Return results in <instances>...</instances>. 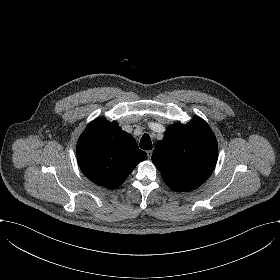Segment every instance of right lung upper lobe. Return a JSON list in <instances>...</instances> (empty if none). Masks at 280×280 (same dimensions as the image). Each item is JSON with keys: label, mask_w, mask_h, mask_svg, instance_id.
Returning a JSON list of instances; mask_svg holds the SVG:
<instances>
[{"label": "right lung upper lobe", "mask_w": 280, "mask_h": 280, "mask_svg": "<svg viewBox=\"0 0 280 280\" xmlns=\"http://www.w3.org/2000/svg\"><path fill=\"white\" fill-rule=\"evenodd\" d=\"M77 158L88 179L115 189L147 155L115 121L104 118L92 121L84 130L78 140Z\"/></svg>", "instance_id": "obj_1"}]
</instances>
